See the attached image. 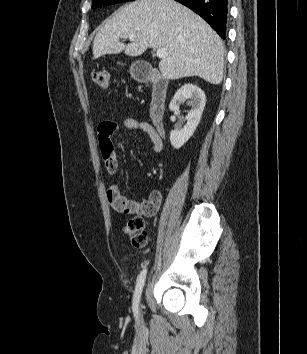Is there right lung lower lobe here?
Segmentation results:
<instances>
[{
	"label": "right lung lower lobe",
	"instance_id": "right-lung-lower-lobe-1",
	"mask_svg": "<svg viewBox=\"0 0 307 354\" xmlns=\"http://www.w3.org/2000/svg\"><path fill=\"white\" fill-rule=\"evenodd\" d=\"M199 14L222 39L226 36L228 0H176Z\"/></svg>",
	"mask_w": 307,
	"mask_h": 354
}]
</instances>
